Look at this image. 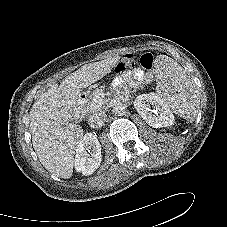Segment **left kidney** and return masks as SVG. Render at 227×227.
Returning <instances> with one entry per match:
<instances>
[{
  "instance_id": "obj_1",
  "label": "left kidney",
  "mask_w": 227,
  "mask_h": 227,
  "mask_svg": "<svg viewBox=\"0 0 227 227\" xmlns=\"http://www.w3.org/2000/svg\"><path fill=\"white\" fill-rule=\"evenodd\" d=\"M134 107L146 123L154 128L168 127L174 124V115L166 102L156 93L137 96Z\"/></svg>"
}]
</instances>
